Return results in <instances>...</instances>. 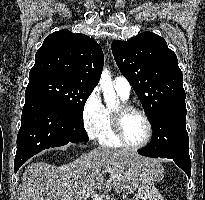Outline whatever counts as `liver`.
Here are the masks:
<instances>
[{"label":"liver","mask_w":205,"mask_h":200,"mask_svg":"<svg viewBox=\"0 0 205 200\" xmlns=\"http://www.w3.org/2000/svg\"><path fill=\"white\" fill-rule=\"evenodd\" d=\"M158 160L136 152L96 147L74 161L55 166L46 162L29 165L17 189L18 200H85L84 189L134 193L141 183L159 179ZM107 170V171H106ZM109 173L106 179L105 173Z\"/></svg>","instance_id":"1"}]
</instances>
